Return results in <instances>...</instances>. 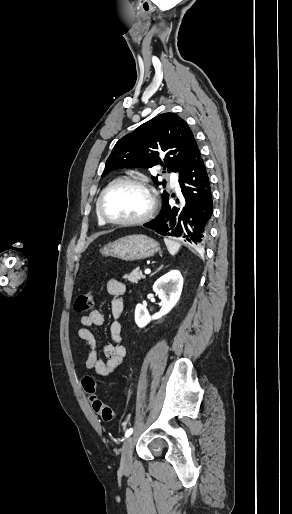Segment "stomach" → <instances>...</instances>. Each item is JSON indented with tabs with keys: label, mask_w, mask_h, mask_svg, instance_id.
<instances>
[{
	"label": "stomach",
	"mask_w": 292,
	"mask_h": 514,
	"mask_svg": "<svg viewBox=\"0 0 292 514\" xmlns=\"http://www.w3.org/2000/svg\"><path fill=\"white\" fill-rule=\"evenodd\" d=\"M159 250L158 242H155L152 238L142 236V234H134V236H125V238H119L116 242H110L105 248H102L101 254L102 256H112V258L133 262V260L150 258Z\"/></svg>",
	"instance_id": "obj_1"
}]
</instances>
